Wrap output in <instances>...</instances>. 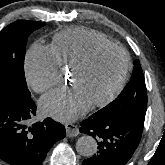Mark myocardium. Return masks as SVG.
<instances>
[{
	"label": "myocardium",
	"instance_id": "f54148a6",
	"mask_svg": "<svg viewBox=\"0 0 165 165\" xmlns=\"http://www.w3.org/2000/svg\"><path fill=\"white\" fill-rule=\"evenodd\" d=\"M107 49L117 50V51H119L123 54V57H124L123 70L121 72V75H120L117 83L112 88V90L106 96H104L103 98L91 102L90 104L92 106H104V105L108 104L121 91V89L123 88V86L126 82L128 72H129V69H130L129 54L127 53V51L123 47H121L117 44H114V43L100 44V45H96L92 49H90L87 52V54L71 68V71H79V70L85 69L87 66H89V64L92 62V60L95 58V56L99 52H101L103 50H107Z\"/></svg>",
	"mask_w": 165,
	"mask_h": 165
}]
</instances>
